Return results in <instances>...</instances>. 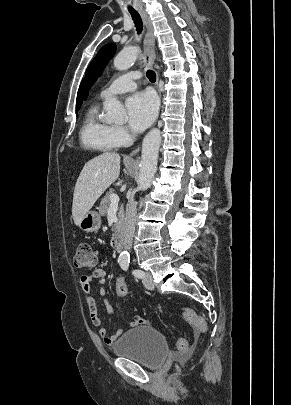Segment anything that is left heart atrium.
I'll return each mask as SVG.
<instances>
[{
  "instance_id": "obj_1",
  "label": "left heart atrium",
  "mask_w": 291,
  "mask_h": 405,
  "mask_svg": "<svg viewBox=\"0 0 291 405\" xmlns=\"http://www.w3.org/2000/svg\"><path fill=\"white\" fill-rule=\"evenodd\" d=\"M126 108L130 128L141 132L153 122L157 113V101L152 93L141 92L127 100Z\"/></svg>"
}]
</instances>
